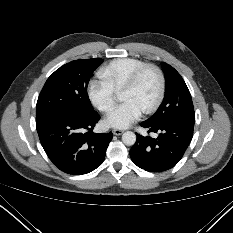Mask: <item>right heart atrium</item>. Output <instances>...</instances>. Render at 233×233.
Masks as SVG:
<instances>
[{
  "mask_svg": "<svg viewBox=\"0 0 233 233\" xmlns=\"http://www.w3.org/2000/svg\"><path fill=\"white\" fill-rule=\"evenodd\" d=\"M87 95L91 103L102 113L111 112L115 106V91L101 79H91L89 81Z\"/></svg>",
  "mask_w": 233,
  "mask_h": 233,
  "instance_id": "d8ad5b80",
  "label": "right heart atrium"
}]
</instances>
